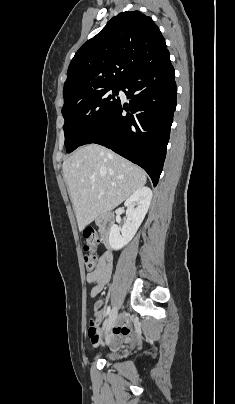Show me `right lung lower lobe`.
I'll use <instances>...</instances> for the list:
<instances>
[{
	"mask_svg": "<svg viewBox=\"0 0 235 404\" xmlns=\"http://www.w3.org/2000/svg\"><path fill=\"white\" fill-rule=\"evenodd\" d=\"M174 78L170 56L134 73L121 87L129 106L120 101L81 145L97 143L112 149L141 166L156 186L176 107Z\"/></svg>",
	"mask_w": 235,
	"mask_h": 404,
	"instance_id": "obj_1",
	"label": "right lung lower lobe"
}]
</instances>
